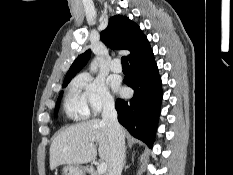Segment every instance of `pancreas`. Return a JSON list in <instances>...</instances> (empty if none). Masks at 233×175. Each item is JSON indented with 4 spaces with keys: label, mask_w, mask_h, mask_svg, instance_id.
<instances>
[{
    "label": "pancreas",
    "mask_w": 233,
    "mask_h": 175,
    "mask_svg": "<svg viewBox=\"0 0 233 175\" xmlns=\"http://www.w3.org/2000/svg\"><path fill=\"white\" fill-rule=\"evenodd\" d=\"M91 175H99V173L96 171H92Z\"/></svg>",
    "instance_id": "1"
}]
</instances>
